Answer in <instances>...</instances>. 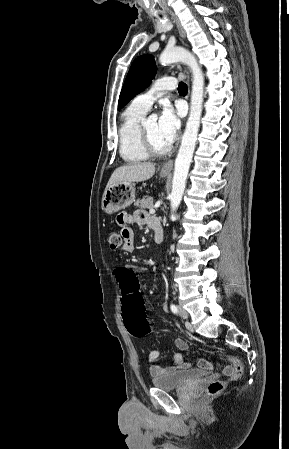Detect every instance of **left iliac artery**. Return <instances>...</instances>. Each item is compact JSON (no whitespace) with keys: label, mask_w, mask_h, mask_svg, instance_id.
I'll return each instance as SVG.
<instances>
[{"label":"left iliac artery","mask_w":289,"mask_h":449,"mask_svg":"<svg viewBox=\"0 0 289 449\" xmlns=\"http://www.w3.org/2000/svg\"><path fill=\"white\" fill-rule=\"evenodd\" d=\"M170 309H171V311L174 313V314H177V312H178V309H177V306L175 305V304H171L170 305Z\"/></svg>","instance_id":"left-iliac-artery-1"}]
</instances>
